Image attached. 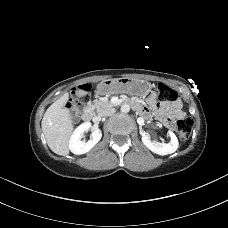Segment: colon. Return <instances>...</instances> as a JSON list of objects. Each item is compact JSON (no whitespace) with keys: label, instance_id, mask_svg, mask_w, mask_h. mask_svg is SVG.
Here are the masks:
<instances>
[{"label":"colon","instance_id":"1","mask_svg":"<svg viewBox=\"0 0 228 228\" xmlns=\"http://www.w3.org/2000/svg\"><path fill=\"white\" fill-rule=\"evenodd\" d=\"M90 86L80 85L73 90V95L68 103L69 109L78 111L89 101ZM178 98V93L168 85L159 83L157 86V99L160 102H174ZM193 128V121L190 118H184L177 122V132L182 141L189 138Z\"/></svg>","mask_w":228,"mask_h":228}]
</instances>
